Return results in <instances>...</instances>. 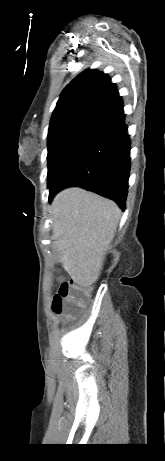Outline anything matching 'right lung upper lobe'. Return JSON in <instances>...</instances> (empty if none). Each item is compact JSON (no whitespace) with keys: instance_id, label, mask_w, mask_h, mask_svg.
<instances>
[{"instance_id":"1","label":"right lung upper lobe","mask_w":165,"mask_h":461,"mask_svg":"<svg viewBox=\"0 0 165 461\" xmlns=\"http://www.w3.org/2000/svg\"><path fill=\"white\" fill-rule=\"evenodd\" d=\"M121 113L122 99L107 74L85 70L62 91L51 121L81 115H93L108 121Z\"/></svg>"}]
</instances>
